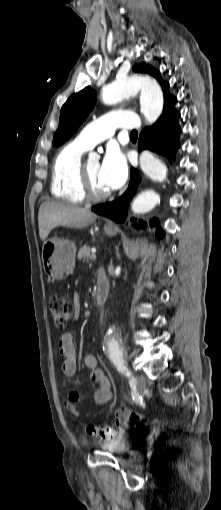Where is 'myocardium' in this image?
I'll return each mask as SVG.
<instances>
[{
    "label": "myocardium",
    "instance_id": "obj_1",
    "mask_svg": "<svg viewBox=\"0 0 221 510\" xmlns=\"http://www.w3.org/2000/svg\"><path fill=\"white\" fill-rule=\"evenodd\" d=\"M80 187L84 200L89 202H101L111 195L110 192L97 193L94 191L85 165H81L80 168Z\"/></svg>",
    "mask_w": 221,
    "mask_h": 510
}]
</instances>
